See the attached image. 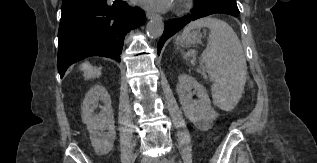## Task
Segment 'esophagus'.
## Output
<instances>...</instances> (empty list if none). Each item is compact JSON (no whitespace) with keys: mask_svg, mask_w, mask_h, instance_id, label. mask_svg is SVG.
Listing matches in <instances>:
<instances>
[{"mask_svg":"<svg viewBox=\"0 0 317 163\" xmlns=\"http://www.w3.org/2000/svg\"><path fill=\"white\" fill-rule=\"evenodd\" d=\"M146 17H147L148 19H162V18L160 17V15H158V14H156V13H153V12H150V11H147V12H146Z\"/></svg>","mask_w":317,"mask_h":163,"instance_id":"obj_1","label":"esophagus"}]
</instances>
